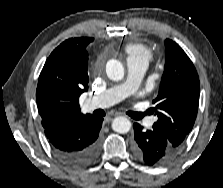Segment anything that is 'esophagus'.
<instances>
[{
  "mask_svg": "<svg viewBox=\"0 0 223 188\" xmlns=\"http://www.w3.org/2000/svg\"><path fill=\"white\" fill-rule=\"evenodd\" d=\"M118 115H119L118 113L115 114V116H118ZM112 119H113V117H108V118H106V121H107V122H110Z\"/></svg>",
  "mask_w": 223,
  "mask_h": 188,
  "instance_id": "obj_1",
  "label": "esophagus"
}]
</instances>
